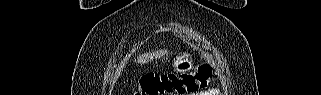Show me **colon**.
<instances>
[{"mask_svg":"<svg viewBox=\"0 0 321 95\" xmlns=\"http://www.w3.org/2000/svg\"><path fill=\"white\" fill-rule=\"evenodd\" d=\"M214 77V70L201 66L194 73L181 75H146L141 78L138 94H186L206 87Z\"/></svg>","mask_w":321,"mask_h":95,"instance_id":"colon-1","label":"colon"}]
</instances>
